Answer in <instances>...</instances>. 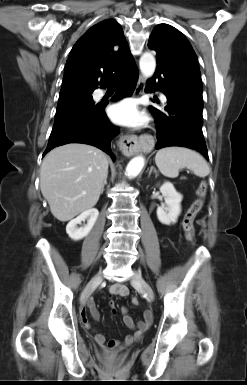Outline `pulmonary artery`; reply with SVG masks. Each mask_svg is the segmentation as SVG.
I'll return each mask as SVG.
<instances>
[{
    "instance_id": "1",
    "label": "pulmonary artery",
    "mask_w": 247,
    "mask_h": 385,
    "mask_svg": "<svg viewBox=\"0 0 247 385\" xmlns=\"http://www.w3.org/2000/svg\"><path fill=\"white\" fill-rule=\"evenodd\" d=\"M98 95H102L103 94V91L102 90H98ZM161 99L162 100H165V95L164 94H161Z\"/></svg>"
}]
</instances>
